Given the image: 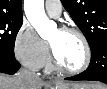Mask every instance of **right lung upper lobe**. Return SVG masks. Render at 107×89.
Instances as JSON below:
<instances>
[{
    "instance_id": "1",
    "label": "right lung upper lobe",
    "mask_w": 107,
    "mask_h": 89,
    "mask_svg": "<svg viewBox=\"0 0 107 89\" xmlns=\"http://www.w3.org/2000/svg\"><path fill=\"white\" fill-rule=\"evenodd\" d=\"M0 16L23 18L21 0H0Z\"/></svg>"
}]
</instances>
